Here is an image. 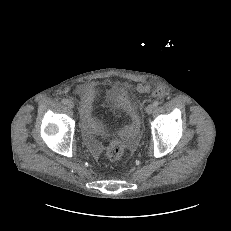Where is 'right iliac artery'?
Returning a JSON list of instances; mask_svg holds the SVG:
<instances>
[{
    "label": "right iliac artery",
    "mask_w": 231,
    "mask_h": 231,
    "mask_svg": "<svg viewBox=\"0 0 231 231\" xmlns=\"http://www.w3.org/2000/svg\"><path fill=\"white\" fill-rule=\"evenodd\" d=\"M62 103H63V104H67V99H65V98L62 99Z\"/></svg>",
    "instance_id": "right-iliac-artery-1"
}]
</instances>
